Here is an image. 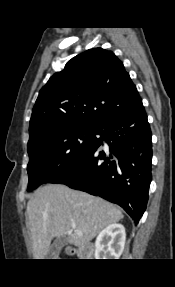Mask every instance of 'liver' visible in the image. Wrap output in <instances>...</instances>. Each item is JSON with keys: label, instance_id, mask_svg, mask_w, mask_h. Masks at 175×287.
Instances as JSON below:
<instances>
[{"label": "liver", "instance_id": "6515ba94", "mask_svg": "<svg viewBox=\"0 0 175 287\" xmlns=\"http://www.w3.org/2000/svg\"><path fill=\"white\" fill-rule=\"evenodd\" d=\"M27 215L34 259H44L54 238L67 235L70 244L83 248L123 218L113 204L61 184L39 188L27 203Z\"/></svg>", "mask_w": 175, "mask_h": 287}]
</instances>
